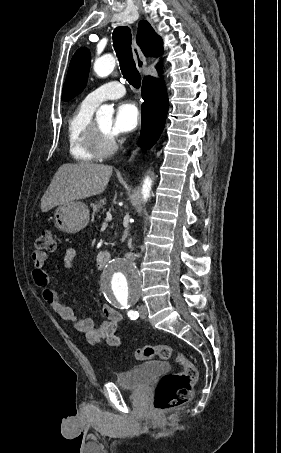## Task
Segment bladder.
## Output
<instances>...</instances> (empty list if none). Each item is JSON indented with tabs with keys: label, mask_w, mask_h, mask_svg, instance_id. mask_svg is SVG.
<instances>
[{
	"label": "bladder",
	"mask_w": 281,
	"mask_h": 453,
	"mask_svg": "<svg viewBox=\"0 0 281 453\" xmlns=\"http://www.w3.org/2000/svg\"><path fill=\"white\" fill-rule=\"evenodd\" d=\"M169 370L170 366L165 362H149L120 372L116 377V383L123 388L140 389L147 386L156 377L168 373Z\"/></svg>",
	"instance_id": "bladder-1"
}]
</instances>
